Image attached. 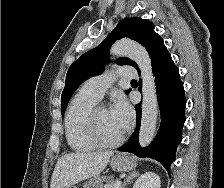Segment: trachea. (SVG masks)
<instances>
[{
    "mask_svg": "<svg viewBox=\"0 0 224 188\" xmlns=\"http://www.w3.org/2000/svg\"><path fill=\"white\" fill-rule=\"evenodd\" d=\"M131 83H137V80L133 79V80L131 81Z\"/></svg>",
    "mask_w": 224,
    "mask_h": 188,
    "instance_id": "obj_1",
    "label": "trachea"
}]
</instances>
